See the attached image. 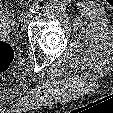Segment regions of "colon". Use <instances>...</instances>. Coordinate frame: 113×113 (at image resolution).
<instances>
[{"mask_svg": "<svg viewBox=\"0 0 113 113\" xmlns=\"http://www.w3.org/2000/svg\"><path fill=\"white\" fill-rule=\"evenodd\" d=\"M15 53L12 46L0 40V72L6 71L14 61Z\"/></svg>", "mask_w": 113, "mask_h": 113, "instance_id": "obj_1", "label": "colon"}]
</instances>
